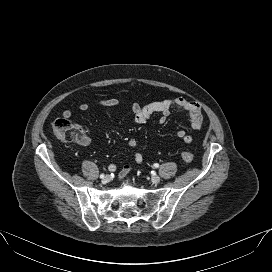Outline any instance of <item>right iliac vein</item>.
Returning <instances> with one entry per match:
<instances>
[{
  "mask_svg": "<svg viewBox=\"0 0 272 272\" xmlns=\"http://www.w3.org/2000/svg\"><path fill=\"white\" fill-rule=\"evenodd\" d=\"M111 180V177L109 175H106L103 179L102 182L103 183H108Z\"/></svg>",
  "mask_w": 272,
  "mask_h": 272,
  "instance_id": "right-iliac-vein-1",
  "label": "right iliac vein"
}]
</instances>
